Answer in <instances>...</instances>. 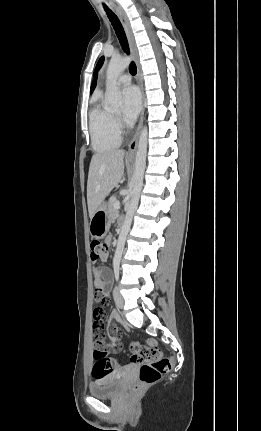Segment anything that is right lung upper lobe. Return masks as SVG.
<instances>
[{
    "label": "right lung upper lobe",
    "mask_w": 261,
    "mask_h": 431,
    "mask_svg": "<svg viewBox=\"0 0 261 431\" xmlns=\"http://www.w3.org/2000/svg\"><path fill=\"white\" fill-rule=\"evenodd\" d=\"M96 80H97V77H95V79L93 80V83H92L91 88H90V92H92L94 90V88L96 86Z\"/></svg>",
    "instance_id": "cb5924a9"
}]
</instances>
